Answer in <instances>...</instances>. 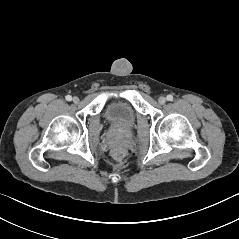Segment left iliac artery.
Masks as SVG:
<instances>
[{"label": "left iliac artery", "instance_id": "1", "mask_svg": "<svg viewBox=\"0 0 239 239\" xmlns=\"http://www.w3.org/2000/svg\"><path fill=\"white\" fill-rule=\"evenodd\" d=\"M167 100L168 101H173V96L172 95H167Z\"/></svg>", "mask_w": 239, "mask_h": 239}]
</instances>
